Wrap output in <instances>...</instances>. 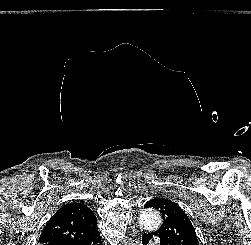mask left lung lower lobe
Segmentation results:
<instances>
[{
  "label": "left lung lower lobe",
  "mask_w": 251,
  "mask_h": 245,
  "mask_svg": "<svg viewBox=\"0 0 251 245\" xmlns=\"http://www.w3.org/2000/svg\"><path fill=\"white\" fill-rule=\"evenodd\" d=\"M159 237L158 235H156L155 233H148V234H144L143 237H142V241H143V245H147L149 243V240L152 238V237ZM160 238V243L161 245H170L164 238Z\"/></svg>",
  "instance_id": "obj_1"
}]
</instances>
